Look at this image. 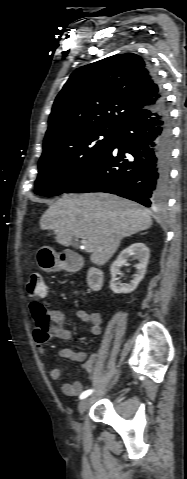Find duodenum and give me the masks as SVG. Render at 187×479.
I'll list each match as a JSON object with an SVG mask.
<instances>
[{
  "instance_id": "obj_1",
  "label": "duodenum",
  "mask_w": 187,
  "mask_h": 479,
  "mask_svg": "<svg viewBox=\"0 0 187 479\" xmlns=\"http://www.w3.org/2000/svg\"><path fill=\"white\" fill-rule=\"evenodd\" d=\"M64 261L66 262V265L70 270L78 269L80 266L79 260L71 256H65ZM103 280L104 277L101 269L94 267L89 270L87 283L92 290L97 291L101 289L103 285Z\"/></svg>"
}]
</instances>
